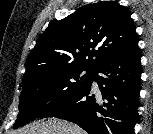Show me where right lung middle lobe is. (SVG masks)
Returning a JSON list of instances; mask_svg holds the SVG:
<instances>
[{
    "label": "right lung middle lobe",
    "mask_w": 153,
    "mask_h": 134,
    "mask_svg": "<svg viewBox=\"0 0 153 134\" xmlns=\"http://www.w3.org/2000/svg\"><path fill=\"white\" fill-rule=\"evenodd\" d=\"M93 70L76 66L51 69L22 81L19 114L14 129L40 117L82 89Z\"/></svg>",
    "instance_id": "obj_1"
}]
</instances>
